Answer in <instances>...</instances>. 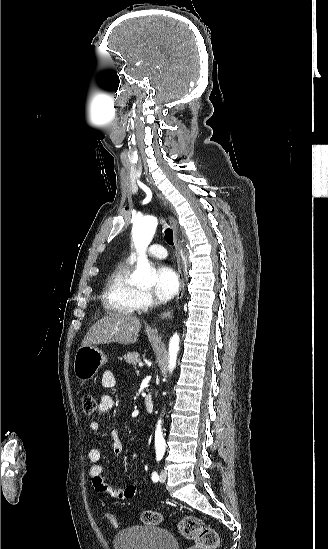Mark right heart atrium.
<instances>
[{"label":"right heart atrium","mask_w":328,"mask_h":549,"mask_svg":"<svg viewBox=\"0 0 328 549\" xmlns=\"http://www.w3.org/2000/svg\"><path fill=\"white\" fill-rule=\"evenodd\" d=\"M144 299L146 303H159V301L153 296L150 291L144 292Z\"/></svg>","instance_id":"obj_1"}]
</instances>
